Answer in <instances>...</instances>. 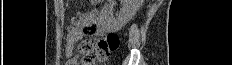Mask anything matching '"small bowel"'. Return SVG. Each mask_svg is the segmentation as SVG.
Masks as SVG:
<instances>
[{
	"label": "small bowel",
	"instance_id": "obj_1",
	"mask_svg": "<svg viewBox=\"0 0 232 65\" xmlns=\"http://www.w3.org/2000/svg\"><path fill=\"white\" fill-rule=\"evenodd\" d=\"M102 29L100 27L99 15L96 12L85 14L78 22L73 30L69 33L65 43V55L67 57L66 65H92L84 58L80 61L74 55L76 44L81 41L86 34L100 35Z\"/></svg>",
	"mask_w": 232,
	"mask_h": 65
}]
</instances>
